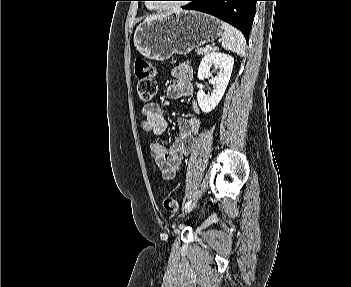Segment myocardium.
Segmentation results:
<instances>
[{
  "label": "myocardium",
  "instance_id": "f54148a6",
  "mask_svg": "<svg viewBox=\"0 0 351 287\" xmlns=\"http://www.w3.org/2000/svg\"><path fill=\"white\" fill-rule=\"evenodd\" d=\"M158 7H159V8H165V7L161 6V5H158Z\"/></svg>",
  "mask_w": 351,
  "mask_h": 287
}]
</instances>
